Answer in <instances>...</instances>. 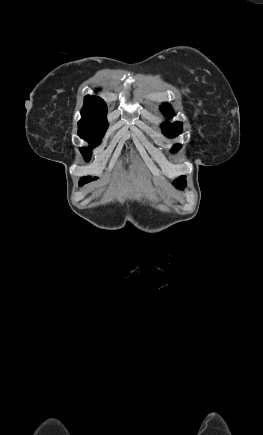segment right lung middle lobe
Returning a JSON list of instances; mask_svg holds the SVG:
<instances>
[{
  "instance_id": "1",
  "label": "right lung middle lobe",
  "mask_w": 263,
  "mask_h": 435,
  "mask_svg": "<svg viewBox=\"0 0 263 435\" xmlns=\"http://www.w3.org/2000/svg\"><path fill=\"white\" fill-rule=\"evenodd\" d=\"M78 126V134L80 138L91 144L90 148H80L81 153L84 155L86 160H88L91 156V148L97 146L101 142V139L103 138L107 128L98 126ZM92 180L94 179H91L89 176L83 177L79 183L85 184Z\"/></svg>"
}]
</instances>
